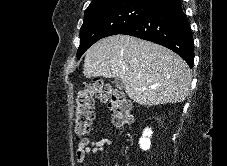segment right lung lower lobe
Segmentation results:
<instances>
[{"label":"right lung lower lobe","mask_w":227,"mask_h":166,"mask_svg":"<svg viewBox=\"0 0 227 166\" xmlns=\"http://www.w3.org/2000/svg\"><path fill=\"white\" fill-rule=\"evenodd\" d=\"M119 34L165 46L193 67V37L180 0H164Z\"/></svg>","instance_id":"1"}]
</instances>
